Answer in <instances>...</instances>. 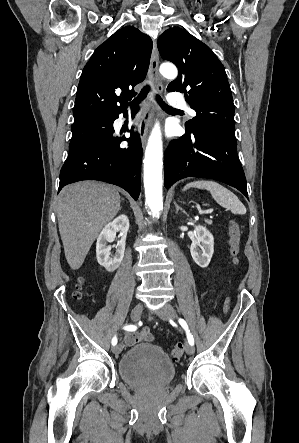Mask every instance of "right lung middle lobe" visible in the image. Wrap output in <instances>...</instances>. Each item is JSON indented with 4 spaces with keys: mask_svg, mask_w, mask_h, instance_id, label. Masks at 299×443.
<instances>
[{
    "mask_svg": "<svg viewBox=\"0 0 299 443\" xmlns=\"http://www.w3.org/2000/svg\"><path fill=\"white\" fill-rule=\"evenodd\" d=\"M112 129V124L107 116L90 118L74 123L69 153H72L89 141L104 137Z\"/></svg>",
    "mask_w": 299,
    "mask_h": 443,
    "instance_id": "obj_1",
    "label": "right lung middle lobe"
}]
</instances>
